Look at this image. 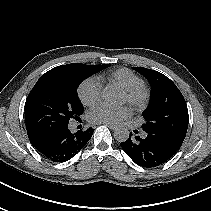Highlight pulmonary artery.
<instances>
[{"instance_id":"1","label":"pulmonary artery","mask_w":211,"mask_h":211,"mask_svg":"<svg viewBox=\"0 0 211 211\" xmlns=\"http://www.w3.org/2000/svg\"><path fill=\"white\" fill-rule=\"evenodd\" d=\"M146 136V134H142V137H145Z\"/></svg>"}]
</instances>
